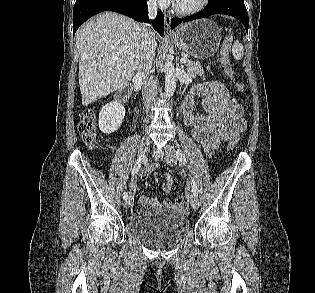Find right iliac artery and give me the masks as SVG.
I'll use <instances>...</instances> for the list:
<instances>
[{
  "instance_id": "82829eb1",
  "label": "right iliac artery",
  "mask_w": 315,
  "mask_h": 293,
  "mask_svg": "<svg viewBox=\"0 0 315 293\" xmlns=\"http://www.w3.org/2000/svg\"><path fill=\"white\" fill-rule=\"evenodd\" d=\"M144 157V156H143ZM141 165H142V157H140L136 164L134 165L133 169H132V175H135L138 173V171L140 170L141 168ZM123 199H126L128 197V193L127 192H124L123 195H122Z\"/></svg>"
}]
</instances>
